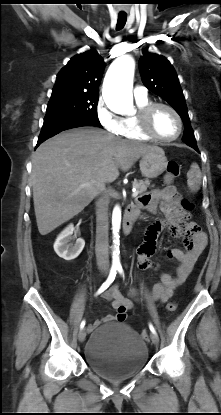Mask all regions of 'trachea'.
<instances>
[{
  "label": "trachea",
  "mask_w": 221,
  "mask_h": 415,
  "mask_svg": "<svg viewBox=\"0 0 221 415\" xmlns=\"http://www.w3.org/2000/svg\"><path fill=\"white\" fill-rule=\"evenodd\" d=\"M126 20H127L126 15H119L118 16L117 25H116L118 30L122 29L125 26Z\"/></svg>",
  "instance_id": "obj_1"
}]
</instances>
